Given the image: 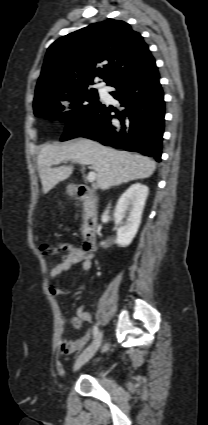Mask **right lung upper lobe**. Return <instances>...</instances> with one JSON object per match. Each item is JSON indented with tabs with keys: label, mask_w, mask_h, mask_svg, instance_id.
<instances>
[{
	"label": "right lung upper lobe",
	"mask_w": 208,
	"mask_h": 425,
	"mask_svg": "<svg viewBox=\"0 0 208 425\" xmlns=\"http://www.w3.org/2000/svg\"><path fill=\"white\" fill-rule=\"evenodd\" d=\"M150 54L140 33L107 19L56 40L48 48L34 102L52 94L88 89L95 76L107 84L124 68Z\"/></svg>",
	"instance_id": "1"
}]
</instances>
